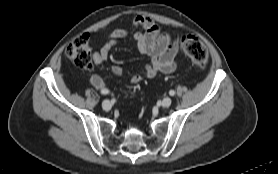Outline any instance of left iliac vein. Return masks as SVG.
Here are the masks:
<instances>
[{"mask_svg": "<svg viewBox=\"0 0 278 174\" xmlns=\"http://www.w3.org/2000/svg\"><path fill=\"white\" fill-rule=\"evenodd\" d=\"M172 103V100L170 97H165L163 100H162V103L161 105L165 108L169 107Z\"/></svg>", "mask_w": 278, "mask_h": 174, "instance_id": "4c4485c4", "label": "left iliac vein"}]
</instances>
